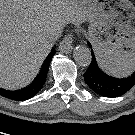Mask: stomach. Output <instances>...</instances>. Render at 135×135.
I'll return each mask as SVG.
<instances>
[{"mask_svg":"<svg viewBox=\"0 0 135 135\" xmlns=\"http://www.w3.org/2000/svg\"><path fill=\"white\" fill-rule=\"evenodd\" d=\"M90 22L89 36L101 59L135 54V6L129 0H72Z\"/></svg>","mask_w":135,"mask_h":135,"instance_id":"obj_1","label":"stomach"}]
</instances>
